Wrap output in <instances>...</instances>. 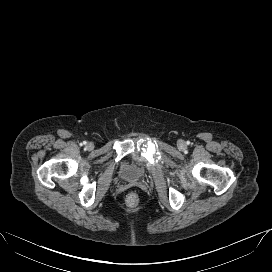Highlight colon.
<instances>
[{"instance_id": "obj_1", "label": "colon", "mask_w": 272, "mask_h": 272, "mask_svg": "<svg viewBox=\"0 0 272 272\" xmlns=\"http://www.w3.org/2000/svg\"><path fill=\"white\" fill-rule=\"evenodd\" d=\"M139 201H140L139 196L135 192L129 193L126 197V204L130 208H134V207L138 206Z\"/></svg>"}]
</instances>
